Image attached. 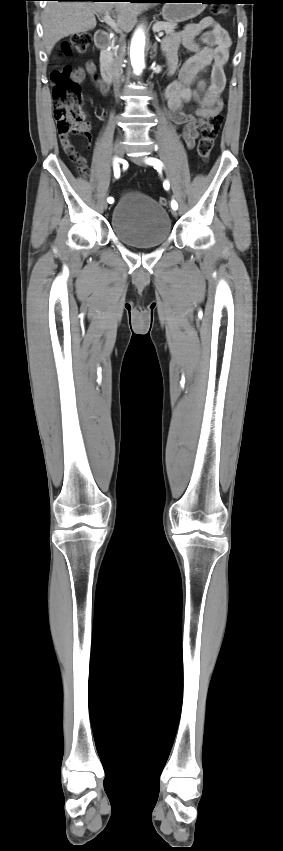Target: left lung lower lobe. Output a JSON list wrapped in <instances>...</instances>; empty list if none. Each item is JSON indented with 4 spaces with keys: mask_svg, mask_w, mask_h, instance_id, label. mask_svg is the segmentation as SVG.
<instances>
[{
    "mask_svg": "<svg viewBox=\"0 0 283 851\" xmlns=\"http://www.w3.org/2000/svg\"><path fill=\"white\" fill-rule=\"evenodd\" d=\"M164 1H166V0H150V2H164ZM209 3H228V4H234V3H239V2H237V1H235V0H227L226 2H209Z\"/></svg>",
    "mask_w": 283,
    "mask_h": 851,
    "instance_id": "left-lung-lower-lobe-1",
    "label": "left lung lower lobe"
}]
</instances>
